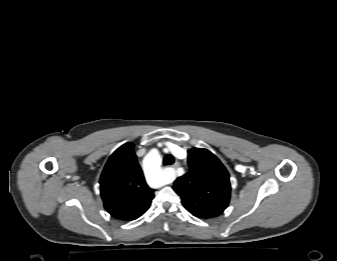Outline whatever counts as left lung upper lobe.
Returning a JSON list of instances; mask_svg holds the SVG:
<instances>
[{
	"label": "left lung upper lobe",
	"instance_id": "1",
	"mask_svg": "<svg viewBox=\"0 0 337 261\" xmlns=\"http://www.w3.org/2000/svg\"><path fill=\"white\" fill-rule=\"evenodd\" d=\"M189 172L177 178L173 189L194 216L207 219L223 213L230 200L229 173L209 150H188Z\"/></svg>",
	"mask_w": 337,
	"mask_h": 261
}]
</instances>
